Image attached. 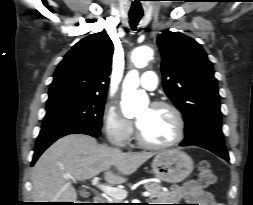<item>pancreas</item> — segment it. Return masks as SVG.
I'll return each mask as SVG.
<instances>
[{"label": "pancreas", "mask_w": 253, "mask_h": 205, "mask_svg": "<svg viewBox=\"0 0 253 205\" xmlns=\"http://www.w3.org/2000/svg\"><path fill=\"white\" fill-rule=\"evenodd\" d=\"M144 188L150 193V199L155 201H167L169 199V193L163 191L161 185L156 183H147ZM107 203H122L120 200L112 198Z\"/></svg>", "instance_id": "pancreas-1"}]
</instances>
